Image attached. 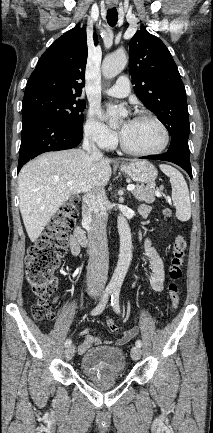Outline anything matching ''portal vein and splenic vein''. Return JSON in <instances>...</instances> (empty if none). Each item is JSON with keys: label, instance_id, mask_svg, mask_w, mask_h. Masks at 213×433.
<instances>
[{"label": "portal vein and splenic vein", "instance_id": "1", "mask_svg": "<svg viewBox=\"0 0 213 433\" xmlns=\"http://www.w3.org/2000/svg\"><path fill=\"white\" fill-rule=\"evenodd\" d=\"M67 186H72V182H67V184H66ZM135 189V186L134 185H128L127 186V190L128 191H133Z\"/></svg>", "mask_w": 213, "mask_h": 433}]
</instances>
